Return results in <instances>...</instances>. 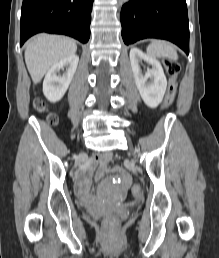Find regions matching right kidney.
Returning a JSON list of instances; mask_svg holds the SVG:
<instances>
[{"mask_svg": "<svg viewBox=\"0 0 219 258\" xmlns=\"http://www.w3.org/2000/svg\"><path fill=\"white\" fill-rule=\"evenodd\" d=\"M78 62L79 57L73 54L49 69L43 81V93L50 102L62 99L76 72ZM61 70L64 71L63 75H60Z\"/></svg>", "mask_w": 219, "mask_h": 258, "instance_id": "ca27d5eb", "label": "right kidney"}]
</instances>
